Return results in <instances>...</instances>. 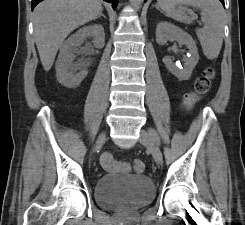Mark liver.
Wrapping results in <instances>:
<instances>
[{"mask_svg":"<svg viewBox=\"0 0 245 225\" xmlns=\"http://www.w3.org/2000/svg\"><path fill=\"white\" fill-rule=\"evenodd\" d=\"M99 0H44L34 9V36L45 71L54 63L65 38L79 26L96 19Z\"/></svg>","mask_w":245,"mask_h":225,"instance_id":"liver-1","label":"liver"}]
</instances>
